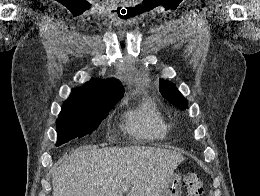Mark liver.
I'll return each mask as SVG.
<instances>
[{
  "label": "liver",
  "mask_w": 260,
  "mask_h": 196,
  "mask_svg": "<svg viewBox=\"0 0 260 196\" xmlns=\"http://www.w3.org/2000/svg\"><path fill=\"white\" fill-rule=\"evenodd\" d=\"M185 158L179 152L129 146L101 148L86 146L56 168L53 196H160L177 166Z\"/></svg>",
  "instance_id": "1"
}]
</instances>
